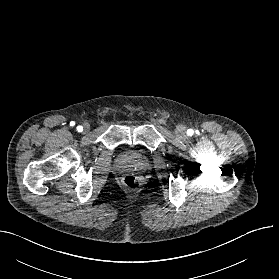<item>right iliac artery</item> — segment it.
<instances>
[{
    "mask_svg": "<svg viewBox=\"0 0 279 279\" xmlns=\"http://www.w3.org/2000/svg\"><path fill=\"white\" fill-rule=\"evenodd\" d=\"M72 124H74V123L72 122ZM77 130H78V132H82L83 131V127L82 126H78Z\"/></svg>",
    "mask_w": 279,
    "mask_h": 279,
    "instance_id": "right-iliac-artery-1",
    "label": "right iliac artery"
}]
</instances>
